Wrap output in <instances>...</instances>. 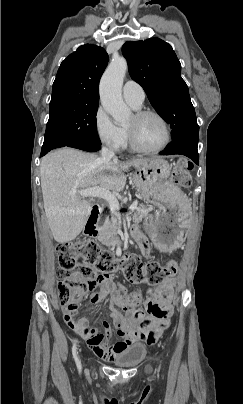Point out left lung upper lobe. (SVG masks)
<instances>
[{"label":"left lung upper lobe","instance_id":"obj_1","mask_svg":"<svg viewBox=\"0 0 243 404\" xmlns=\"http://www.w3.org/2000/svg\"><path fill=\"white\" fill-rule=\"evenodd\" d=\"M122 50L131 78L143 87L154 109L170 124L172 139L198 137L195 110L172 47L159 38H150L126 42Z\"/></svg>","mask_w":243,"mask_h":404}]
</instances>
